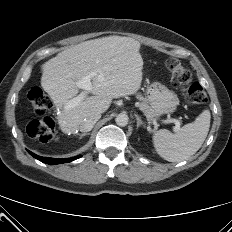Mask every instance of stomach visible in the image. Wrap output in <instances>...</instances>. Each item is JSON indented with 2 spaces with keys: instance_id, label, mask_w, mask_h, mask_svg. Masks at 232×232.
Segmentation results:
<instances>
[{
  "instance_id": "0dacf381",
  "label": "stomach",
  "mask_w": 232,
  "mask_h": 232,
  "mask_svg": "<svg viewBox=\"0 0 232 232\" xmlns=\"http://www.w3.org/2000/svg\"><path fill=\"white\" fill-rule=\"evenodd\" d=\"M147 100L159 115L173 113L179 104L177 95L160 83L150 85Z\"/></svg>"
}]
</instances>
